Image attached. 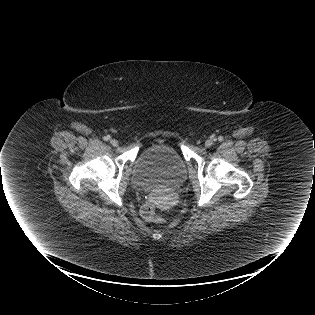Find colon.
<instances>
[{"mask_svg":"<svg viewBox=\"0 0 315 315\" xmlns=\"http://www.w3.org/2000/svg\"><path fill=\"white\" fill-rule=\"evenodd\" d=\"M141 215L144 219L160 224L163 222V218L157 213L156 207L153 203L148 202L144 204L141 209Z\"/></svg>","mask_w":315,"mask_h":315,"instance_id":"5ec220e1","label":"colon"}]
</instances>
